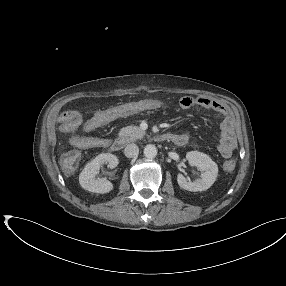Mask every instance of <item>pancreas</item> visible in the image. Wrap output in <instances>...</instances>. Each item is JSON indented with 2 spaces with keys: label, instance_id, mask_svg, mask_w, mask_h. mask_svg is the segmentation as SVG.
I'll return each instance as SVG.
<instances>
[{
  "label": "pancreas",
  "instance_id": "pancreas-1",
  "mask_svg": "<svg viewBox=\"0 0 286 286\" xmlns=\"http://www.w3.org/2000/svg\"><path fill=\"white\" fill-rule=\"evenodd\" d=\"M145 134L138 126H126L120 129L118 136L124 143H130L142 139Z\"/></svg>",
  "mask_w": 286,
  "mask_h": 286
}]
</instances>
